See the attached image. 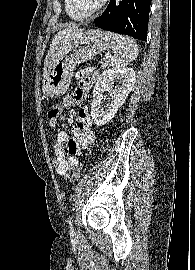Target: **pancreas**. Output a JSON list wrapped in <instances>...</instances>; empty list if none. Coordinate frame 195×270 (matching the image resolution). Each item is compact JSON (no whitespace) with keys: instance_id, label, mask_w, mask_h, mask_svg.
Masks as SVG:
<instances>
[{"instance_id":"cf45deb5","label":"pancreas","mask_w":195,"mask_h":270,"mask_svg":"<svg viewBox=\"0 0 195 270\" xmlns=\"http://www.w3.org/2000/svg\"><path fill=\"white\" fill-rule=\"evenodd\" d=\"M101 65L102 66H105V67H108V66H110L111 65V61H110V58H103L102 60H101Z\"/></svg>"}]
</instances>
